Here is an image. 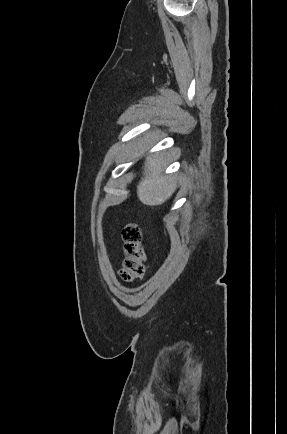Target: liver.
Returning a JSON list of instances; mask_svg holds the SVG:
<instances>
[{
  "instance_id": "1",
  "label": "liver",
  "mask_w": 287,
  "mask_h": 434,
  "mask_svg": "<svg viewBox=\"0 0 287 434\" xmlns=\"http://www.w3.org/2000/svg\"><path fill=\"white\" fill-rule=\"evenodd\" d=\"M164 164L158 156L146 159L144 175L137 185L139 200L149 206H158L166 202L177 188L176 181L163 176Z\"/></svg>"
}]
</instances>
